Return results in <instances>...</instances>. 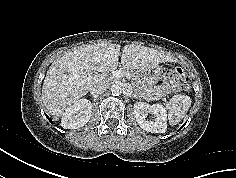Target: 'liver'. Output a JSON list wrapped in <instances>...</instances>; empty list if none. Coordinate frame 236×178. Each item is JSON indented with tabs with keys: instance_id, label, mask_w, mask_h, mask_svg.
<instances>
[{
	"instance_id": "6515ba94",
	"label": "liver",
	"mask_w": 236,
	"mask_h": 178,
	"mask_svg": "<svg viewBox=\"0 0 236 178\" xmlns=\"http://www.w3.org/2000/svg\"><path fill=\"white\" fill-rule=\"evenodd\" d=\"M120 45L99 43L73 49L60 56L49 67L42 86V100L48 112L61 117L67 109L91 88L106 81L99 72L124 69H147L173 61L164 52L140 45H125L119 63Z\"/></svg>"
}]
</instances>
